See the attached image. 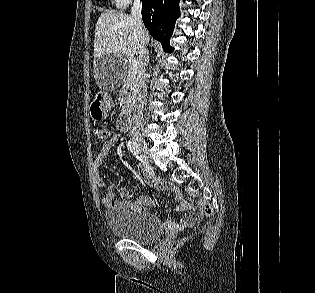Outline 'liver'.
Instances as JSON below:
<instances>
[{"mask_svg":"<svg viewBox=\"0 0 315 293\" xmlns=\"http://www.w3.org/2000/svg\"><path fill=\"white\" fill-rule=\"evenodd\" d=\"M149 33L145 32V42L149 43ZM126 55L131 60L138 55L134 19L125 13H102L96 23L94 34V58L99 61L104 56ZM96 61V62H97Z\"/></svg>","mask_w":315,"mask_h":293,"instance_id":"1","label":"liver"}]
</instances>
